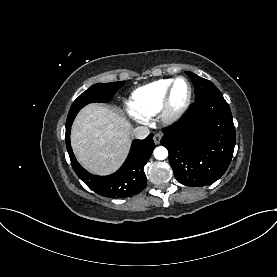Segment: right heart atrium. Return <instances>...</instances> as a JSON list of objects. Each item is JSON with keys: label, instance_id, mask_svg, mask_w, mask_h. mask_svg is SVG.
I'll list each match as a JSON object with an SVG mask.
<instances>
[{"label": "right heart atrium", "instance_id": "1", "mask_svg": "<svg viewBox=\"0 0 277 277\" xmlns=\"http://www.w3.org/2000/svg\"><path fill=\"white\" fill-rule=\"evenodd\" d=\"M131 115L138 121H144L145 120V117L139 115V114H136L134 112L131 111Z\"/></svg>", "mask_w": 277, "mask_h": 277}]
</instances>
